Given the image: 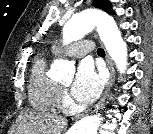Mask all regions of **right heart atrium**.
Instances as JSON below:
<instances>
[{
    "mask_svg": "<svg viewBox=\"0 0 153 134\" xmlns=\"http://www.w3.org/2000/svg\"><path fill=\"white\" fill-rule=\"evenodd\" d=\"M70 104V100L68 98L67 93L62 90V99H61V107L67 109Z\"/></svg>",
    "mask_w": 153,
    "mask_h": 134,
    "instance_id": "right-heart-atrium-1",
    "label": "right heart atrium"
}]
</instances>
